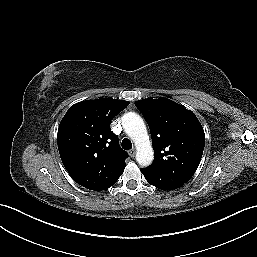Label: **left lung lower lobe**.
<instances>
[{
    "instance_id": "1",
    "label": "left lung lower lobe",
    "mask_w": 257,
    "mask_h": 257,
    "mask_svg": "<svg viewBox=\"0 0 257 257\" xmlns=\"http://www.w3.org/2000/svg\"><path fill=\"white\" fill-rule=\"evenodd\" d=\"M146 180L153 186L162 190H172L184 185L189 178L172 174L169 171L162 170L158 172H149L148 170L140 169Z\"/></svg>"
}]
</instances>
